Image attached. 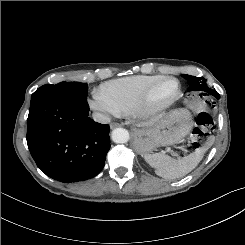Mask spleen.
<instances>
[{
  "mask_svg": "<svg viewBox=\"0 0 245 245\" xmlns=\"http://www.w3.org/2000/svg\"><path fill=\"white\" fill-rule=\"evenodd\" d=\"M206 151L205 147L198 148L188 156L173 159L164 153L146 154L145 161L155 169V173L166 179L182 178L191 172L202 160Z\"/></svg>",
  "mask_w": 245,
  "mask_h": 245,
  "instance_id": "obj_1",
  "label": "spleen"
}]
</instances>
